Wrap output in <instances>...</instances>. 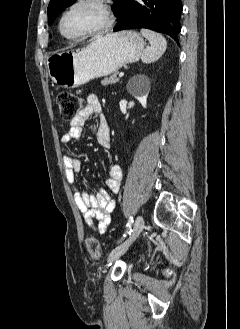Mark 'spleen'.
I'll list each match as a JSON object with an SVG mask.
<instances>
[{"label": "spleen", "mask_w": 240, "mask_h": 329, "mask_svg": "<svg viewBox=\"0 0 240 329\" xmlns=\"http://www.w3.org/2000/svg\"><path fill=\"white\" fill-rule=\"evenodd\" d=\"M141 34L148 39L150 46L147 47L142 54V62L149 64L158 60L167 48V41L160 33L141 29Z\"/></svg>", "instance_id": "3e777b00"}]
</instances>
